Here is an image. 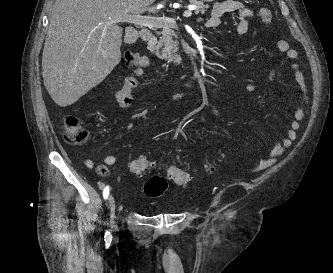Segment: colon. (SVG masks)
Here are the masks:
<instances>
[{"mask_svg":"<svg viewBox=\"0 0 333 273\" xmlns=\"http://www.w3.org/2000/svg\"><path fill=\"white\" fill-rule=\"evenodd\" d=\"M259 19L263 25H269L272 21L271 10L268 8H262L259 11ZM125 60L128 65L136 67L145 66L149 62L146 56L131 52L125 54ZM62 135L64 140L71 145H82L89 137V133L84 128L82 122L73 114H70L65 118L62 127ZM152 167H154V163L144 157L132 160L128 165L129 172L136 177H141ZM214 168L215 166L212 164L206 166L208 172L214 171ZM99 172L103 176L108 174V170L103 166L99 167ZM167 176L175 184L181 186L187 185L191 180L190 174L187 171L173 166L167 169ZM166 189L167 179L161 175L150 177L144 185V192L148 197H159Z\"/></svg>","mask_w":333,"mask_h":273,"instance_id":"obj_1","label":"colon"}]
</instances>
